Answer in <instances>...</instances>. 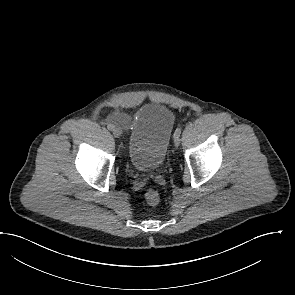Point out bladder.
Here are the masks:
<instances>
[{"label":"bladder","mask_w":295,"mask_h":295,"mask_svg":"<svg viewBox=\"0 0 295 295\" xmlns=\"http://www.w3.org/2000/svg\"><path fill=\"white\" fill-rule=\"evenodd\" d=\"M174 126V114L165 105L149 103L138 109L128 137L132 165L145 172L163 164Z\"/></svg>","instance_id":"31cf9c89"}]
</instances>
